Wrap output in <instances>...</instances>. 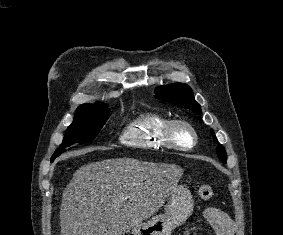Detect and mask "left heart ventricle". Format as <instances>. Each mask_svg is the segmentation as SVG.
<instances>
[{
  "label": "left heart ventricle",
  "mask_w": 283,
  "mask_h": 235,
  "mask_svg": "<svg viewBox=\"0 0 283 235\" xmlns=\"http://www.w3.org/2000/svg\"><path fill=\"white\" fill-rule=\"evenodd\" d=\"M177 141L181 144L189 145L191 143V136L184 130H178Z\"/></svg>",
  "instance_id": "obj_1"
}]
</instances>
